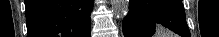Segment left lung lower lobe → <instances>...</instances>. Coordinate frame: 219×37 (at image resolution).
Returning a JSON list of instances; mask_svg holds the SVG:
<instances>
[{
  "mask_svg": "<svg viewBox=\"0 0 219 37\" xmlns=\"http://www.w3.org/2000/svg\"><path fill=\"white\" fill-rule=\"evenodd\" d=\"M163 25L181 37H190L181 0H131L122 23L124 37H151Z\"/></svg>",
  "mask_w": 219,
  "mask_h": 37,
  "instance_id": "0a47b994",
  "label": "left lung lower lobe"
}]
</instances>
